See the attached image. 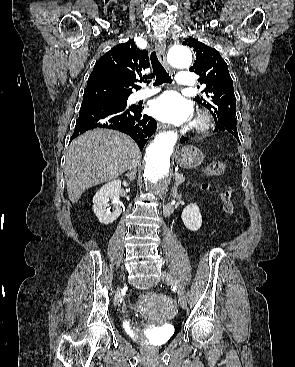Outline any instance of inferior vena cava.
I'll return each instance as SVG.
<instances>
[{"mask_svg":"<svg viewBox=\"0 0 295 367\" xmlns=\"http://www.w3.org/2000/svg\"><path fill=\"white\" fill-rule=\"evenodd\" d=\"M136 165H137V164H135V165L131 166V167L129 168V169H130V171L135 170V169H136Z\"/></svg>","mask_w":295,"mask_h":367,"instance_id":"602c4592","label":"inferior vena cava"}]
</instances>
